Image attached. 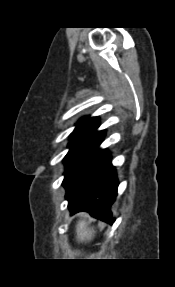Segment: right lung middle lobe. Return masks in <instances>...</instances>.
Returning <instances> with one entry per match:
<instances>
[{"label": "right lung middle lobe", "instance_id": "dd1d6c3e", "mask_svg": "<svg viewBox=\"0 0 175 287\" xmlns=\"http://www.w3.org/2000/svg\"><path fill=\"white\" fill-rule=\"evenodd\" d=\"M97 127H84L75 129L71 133L69 152L64 158L65 177L72 172L82 160L90 155L103 141L104 131H97Z\"/></svg>", "mask_w": 175, "mask_h": 287}]
</instances>
